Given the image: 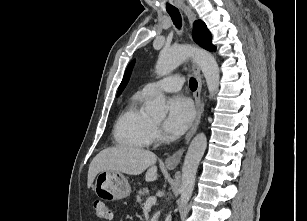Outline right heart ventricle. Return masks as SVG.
I'll return each instance as SVG.
<instances>
[{"instance_id":"e07e8e85","label":"right heart ventricle","mask_w":307,"mask_h":221,"mask_svg":"<svg viewBox=\"0 0 307 221\" xmlns=\"http://www.w3.org/2000/svg\"><path fill=\"white\" fill-rule=\"evenodd\" d=\"M149 95L134 94L119 115L113 130L116 144L131 148H146L154 140V121L144 109Z\"/></svg>"}]
</instances>
